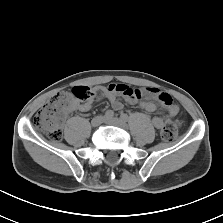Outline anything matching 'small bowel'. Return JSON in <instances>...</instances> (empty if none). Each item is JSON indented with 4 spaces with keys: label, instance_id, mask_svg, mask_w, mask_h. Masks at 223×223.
<instances>
[{
    "label": "small bowel",
    "instance_id": "small-bowel-1",
    "mask_svg": "<svg viewBox=\"0 0 223 223\" xmlns=\"http://www.w3.org/2000/svg\"><path fill=\"white\" fill-rule=\"evenodd\" d=\"M132 88L126 84H110L108 87L98 86L95 87V92L97 93L96 100L100 101L102 99H108L111 106L115 110H121L123 108V103L120 100V96H124L126 101L131 105L138 104L142 109L148 112H154L157 109V104L153 101L146 100V98H154L159 105L168 111L166 117L156 116L152 119L153 125L160 129L163 124L169 120L176 117L179 108L173 103L172 97L168 93L160 92L157 88L146 87L141 89H135L136 95H128L127 91ZM134 90V89H132ZM92 102L86 101L83 103L75 102L72 109L78 110L80 112H87L91 109Z\"/></svg>",
    "mask_w": 223,
    "mask_h": 223
}]
</instances>
